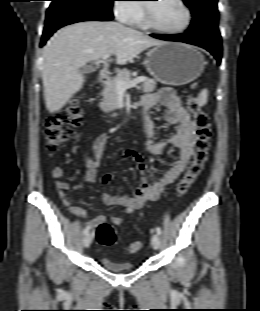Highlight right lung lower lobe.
<instances>
[{"mask_svg": "<svg viewBox=\"0 0 260 311\" xmlns=\"http://www.w3.org/2000/svg\"><path fill=\"white\" fill-rule=\"evenodd\" d=\"M112 15L96 12L73 3L57 2L51 4L46 15L45 28L40 46L59 28L81 21H110Z\"/></svg>", "mask_w": 260, "mask_h": 311, "instance_id": "98d812e1", "label": "right lung lower lobe"}]
</instances>
